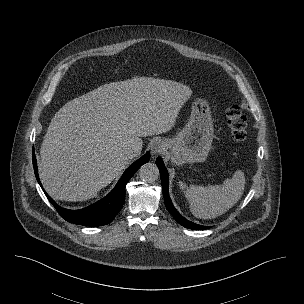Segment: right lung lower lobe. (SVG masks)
I'll use <instances>...</instances> for the list:
<instances>
[{
  "label": "right lung lower lobe",
  "mask_w": 304,
  "mask_h": 304,
  "mask_svg": "<svg viewBox=\"0 0 304 304\" xmlns=\"http://www.w3.org/2000/svg\"><path fill=\"white\" fill-rule=\"evenodd\" d=\"M33 167L36 179L42 187L37 170V162L32 151ZM150 159V154L147 152L143 157L134 162L126 169L115 188L103 199L93 205L80 210H68L57 205L51 197L44 191L48 200L56 208L58 213L68 222L84 225V226H102L106 225L115 218L125 202V187L130 178L135 172Z\"/></svg>",
  "instance_id": "right-lung-lower-lobe-1"
}]
</instances>
